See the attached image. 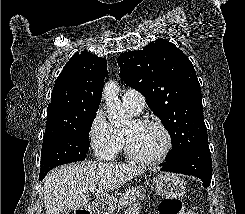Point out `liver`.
I'll list each match as a JSON object with an SVG mask.
<instances>
[{
    "label": "liver",
    "instance_id": "1",
    "mask_svg": "<svg viewBox=\"0 0 245 214\" xmlns=\"http://www.w3.org/2000/svg\"><path fill=\"white\" fill-rule=\"evenodd\" d=\"M144 169L135 166L88 161L58 167L44 180V206L46 214L76 210L89 201L91 186L97 185L96 196L117 189Z\"/></svg>",
    "mask_w": 245,
    "mask_h": 214
}]
</instances>
